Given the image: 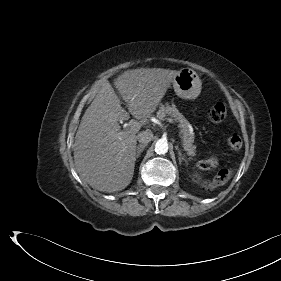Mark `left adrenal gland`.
<instances>
[{
	"label": "left adrenal gland",
	"mask_w": 281,
	"mask_h": 281,
	"mask_svg": "<svg viewBox=\"0 0 281 281\" xmlns=\"http://www.w3.org/2000/svg\"><path fill=\"white\" fill-rule=\"evenodd\" d=\"M176 149L178 150V155H179V157H178V159H179V164H181V162H182V161H185V163L187 164V160L184 158V156H182V153H181V151L179 150V148L177 147Z\"/></svg>",
	"instance_id": "a2214340"
}]
</instances>
